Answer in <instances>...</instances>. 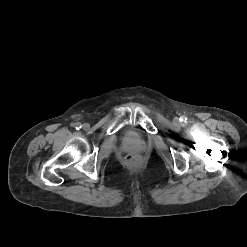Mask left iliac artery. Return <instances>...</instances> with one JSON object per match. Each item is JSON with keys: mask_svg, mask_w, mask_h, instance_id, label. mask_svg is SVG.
<instances>
[{"mask_svg": "<svg viewBox=\"0 0 247 247\" xmlns=\"http://www.w3.org/2000/svg\"><path fill=\"white\" fill-rule=\"evenodd\" d=\"M185 120L186 121V118L182 117V121Z\"/></svg>", "mask_w": 247, "mask_h": 247, "instance_id": "obj_1", "label": "left iliac artery"}]
</instances>
